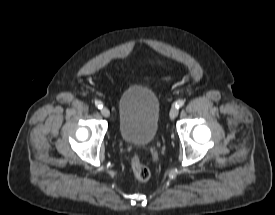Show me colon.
Segmentation results:
<instances>
[{
    "mask_svg": "<svg viewBox=\"0 0 275 215\" xmlns=\"http://www.w3.org/2000/svg\"><path fill=\"white\" fill-rule=\"evenodd\" d=\"M130 163L133 174L137 180L147 181L150 178V169L141 162L139 155L134 154L131 157Z\"/></svg>",
    "mask_w": 275,
    "mask_h": 215,
    "instance_id": "colon-1",
    "label": "colon"
}]
</instances>
